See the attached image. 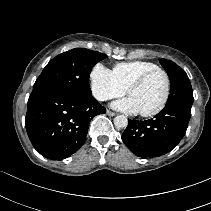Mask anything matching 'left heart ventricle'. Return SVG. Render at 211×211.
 I'll return each mask as SVG.
<instances>
[{"label":"left heart ventricle","instance_id":"1","mask_svg":"<svg viewBox=\"0 0 211 211\" xmlns=\"http://www.w3.org/2000/svg\"><path fill=\"white\" fill-rule=\"evenodd\" d=\"M166 90V80L163 74L156 73L141 87L133 90L129 95L135 102L139 112L155 109L163 100Z\"/></svg>","mask_w":211,"mask_h":211}]
</instances>
